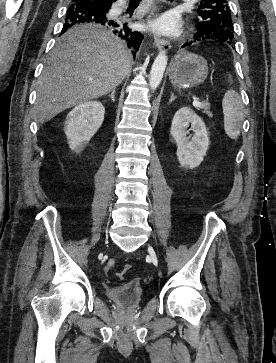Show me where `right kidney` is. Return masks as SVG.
Wrapping results in <instances>:
<instances>
[{"mask_svg": "<svg viewBox=\"0 0 276 363\" xmlns=\"http://www.w3.org/2000/svg\"><path fill=\"white\" fill-rule=\"evenodd\" d=\"M105 108L98 101H88L77 105L67 115L64 132L69 147L80 153L104 121Z\"/></svg>", "mask_w": 276, "mask_h": 363, "instance_id": "obj_1", "label": "right kidney"}]
</instances>
